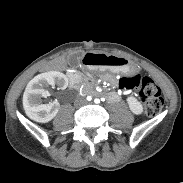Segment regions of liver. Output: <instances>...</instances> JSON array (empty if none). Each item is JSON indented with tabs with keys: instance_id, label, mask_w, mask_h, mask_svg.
Returning <instances> with one entry per match:
<instances>
[{
	"instance_id": "obj_1",
	"label": "liver",
	"mask_w": 183,
	"mask_h": 183,
	"mask_svg": "<svg viewBox=\"0 0 183 183\" xmlns=\"http://www.w3.org/2000/svg\"><path fill=\"white\" fill-rule=\"evenodd\" d=\"M59 68H60V69H62V68H63V66H62V65H60V66H59Z\"/></svg>"
}]
</instances>
